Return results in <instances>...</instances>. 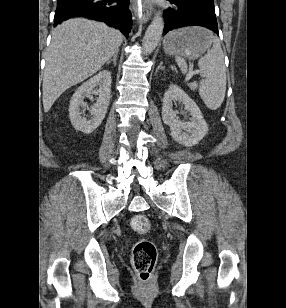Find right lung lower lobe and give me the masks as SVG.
<instances>
[{"mask_svg":"<svg viewBox=\"0 0 286 308\" xmlns=\"http://www.w3.org/2000/svg\"><path fill=\"white\" fill-rule=\"evenodd\" d=\"M114 2L118 5H112ZM128 4L129 0H57L54 25L72 17H86L118 28L128 37L132 25Z\"/></svg>","mask_w":286,"mask_h":308,"instance_id":"1","label":"right lung lower lobe"}]
</instances>
